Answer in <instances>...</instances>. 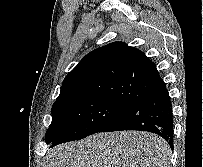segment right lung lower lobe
Returning a JSON list of instances; mask_svg holds the SVG:
<instances>
[{
  "mask_svg": "<svg viewBox=\"0 0 203 167\" xmlns=\"http://www.w3.org/2000/svg\"><path fill=\"white\" fill-rule=\"evenodd\" d=\"M121 130L156 133L165 139L173 149V113L165 85L157 91L136 99L99 132ZM51 143L55 146L61 142L53 141Z\"/></svg>",
  "mask_w": 203,
  "mask_h": 167,
  "instance_id": "98d812e1",
  "label": "right lung lower lobe"
}]
</instances>
